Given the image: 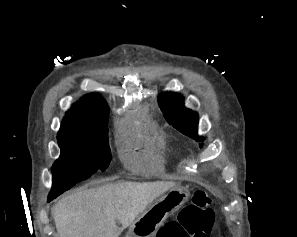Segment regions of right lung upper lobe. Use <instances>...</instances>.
I'll return each instance as SVG.
<instances>
[{
    "label": "right lung upper lobe",
    "instance_id": "right-lung-upper-lobe-1",
    "mask_svg": "<svg viewBox=\"0 0 297 237\" xmlns=\"http://www.w3.org/2000/svg\"><path fill=\"white\" fill-rule=\"evenodd\" d=\"M109 107L98 94L85 95L74 105L61 123L62 129H96L108 124Z\"/></svg>",
    "mask_w": 297,
    "mask_h": 237
}]
</instances>
